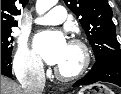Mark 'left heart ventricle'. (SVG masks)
Returning <instances> with one entry per match:
<instances>
[{"mask_svg": "<svg viewBox=\"0 0 121 94\" xmlns=\"http://www.w3.org/2000/svg\"><path fill=\"white\" fill-rule=\"evenodd\" d=\"M81 62V54L78 48L68 45L62 60L57 67L64 72H72L78 68Z\"/></svg>", "mask_w": 121, "mask_h": 94, "instance_id": "left-heart-ventricle-1", "label": "left heart ventricle"}]
</instances>
